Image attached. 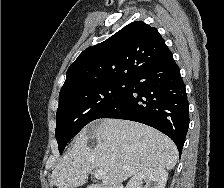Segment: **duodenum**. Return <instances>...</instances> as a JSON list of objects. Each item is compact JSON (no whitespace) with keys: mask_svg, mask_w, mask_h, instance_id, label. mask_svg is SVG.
<instances>
[{"mask_svg":"<svg viewBox=\"0 0 224 188\" xmlns=\"http://www.w3.org/2000/svg\"><path fill=\"white\" fill-rule=\"evenodd\" d=\"M88 188H106V187H104V186H90ZM117 188H119V187H117Z\"/></svg>","mask_w":224,"mask_h":188,"instance_id":"duodenum-1","label":"duodenum"}]
</instances>
